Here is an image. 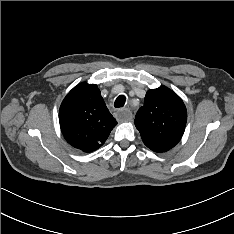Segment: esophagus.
Wrapping results in <instances>:
<instances>
[{
	"mask_svg": "<svg viewBox=\"0 0 234 234\" xmlns=\"http://www.w3.org/2000/svg\"><path fill=\"white\" fill-rule=\"evenodd\" d=\"M118 116L124 121H131L132 113L128 108H124L118 111Z\"/></svg>",
	"mask_w": 234,
	"mask_h": 234,
	"instance_id": "obj_1",
	"label": "esophagus"
}]
</instances>
